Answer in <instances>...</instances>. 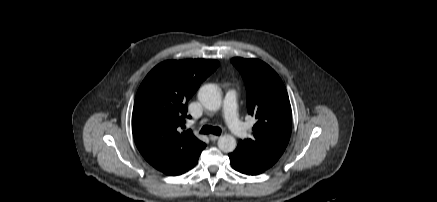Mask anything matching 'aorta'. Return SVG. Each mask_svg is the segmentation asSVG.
I'll return each mask as SVG.
<instances>
[{"label": "aorta", "mask_w": 437, "mask_h": 202, "mask_svg": "<svg viewBox=\"0 0 437 202\" xmlns=\"http://www.w3.org/2000/svg\"><path fill=\"white\" fill-rule=\"evenodd\" d=\"M200 103L209 111H217L221 107L222 95L219 88L213 84H206L198 91ZM236 139L232 135L225 134L218 140V147L222 152L230 153L236 149Z\"/></svg>", "instance_id": "1"}]
</instances>
